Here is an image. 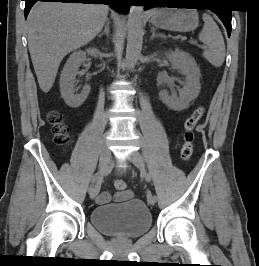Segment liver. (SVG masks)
<instances>
[{"instance_id":"6515ba94","label":"liver","mask_w":259,"mask_h":266,"mask_svg":"<svg viewBox=\"0 0 259 266\" xmlns=\"http://www.w3.org/2000/svg\"><path fill=\"white\" fill-rule=\"evenodd\" d=\"M108 7L103 4L37 2L27 17V39L40 89L52 88L59 65L70 52L102 30Z\"/></svg>"}]
</instances>
